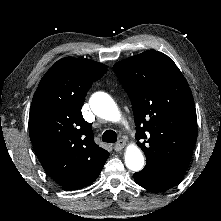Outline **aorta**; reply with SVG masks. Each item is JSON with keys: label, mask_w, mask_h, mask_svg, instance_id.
<instances>
[{"label": "aorta", "mask_w": 221, "mask_h": 221, "mask_svg": "<svg viewBox=\"0 0 221 221\" xmlns=\"http://www.w3.org/2000/svg\"><path fill=\"white\" fill-rule=\"evenodd\" d=\"M90 107L95 115L98 117L117 122L120 120V112L115 101L104 92H96L90 98ZM126 167L132 171H140L144 166V157L141 150L135 146L130 145L125 152Z\"/></svg>", "instance_id": "762f6f07"}]
</instances>
